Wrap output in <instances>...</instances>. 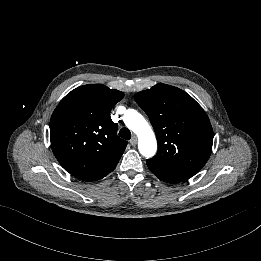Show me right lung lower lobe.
<instances>
[{
  "label": "right lung lower lobe",
  "instance_id": "right-lung-lower-lobe-1",
  "mask_svg": "<svg viewBox=\"0 0 261 261\" xmlns=\"http://www.w3.org/2000/svg\"><path fill=\"white\" fill-rule=\"evenodd\" d=\"M117 163H118V162H117ZM117 163L114 164V165L110 168V170H109L104 176H102L101 178H99V179H97V180H100V179L104 178L105 176H107L109 173H111V172L115 169ZM97 180H94V181H97Z\"/></svg>",
  "mask_w": 261,
  "mask_h": 261
}]
</instances>
